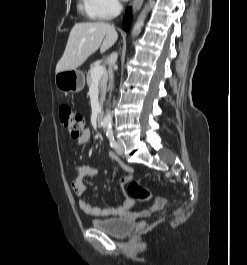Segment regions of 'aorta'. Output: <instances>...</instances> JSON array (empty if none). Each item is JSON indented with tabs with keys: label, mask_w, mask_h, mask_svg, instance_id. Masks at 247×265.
Segmentation results:
<instances>
[{
	"label": "aorta",
	"mask_w": 247,
	"mask_h": 265,
	"mask_svg": "<svg viewBox=\"0 0 247 265\" xmlns=\"http://www.w3.org/2000/svg\"><path fill=\"white\" fill-rule=\"evenodd\" d=\"M147 9V8H146ZM144 18H145V15H142L139 17V19L137 20L136 24L134 25V28H133V31H132V34L133 35H137L140 33L141 31V27L143 26L144 24ZM103 123L107 126L111 125L112 124V114H111V111L108 110L107 113L105 114V117L103 119Z\"/></svg>",
	"instance_id": "1"
}]
</instances>
